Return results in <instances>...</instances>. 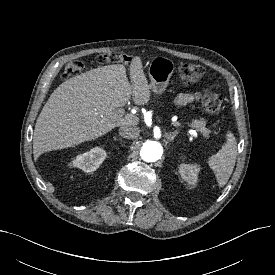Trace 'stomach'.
Listing matches in <instances>:
<instances>
[{
  "instance_id": "obj_1",
  "label": "stomach",
  "mask_w": 275,
  "mask_h": 275,
  "mask_svg": "<svg viewBox=\"0 0 275 275\" xmlns=\"http://www.w3.org/2000/svg\"><path fill=\"white\" fill-rule=\"evenodd\" d=\"M174 69L175 65L170 59L163 56L154 57L148 68L150 89L156 94L164 92Z\"/></svg>"
}]
</instances>
